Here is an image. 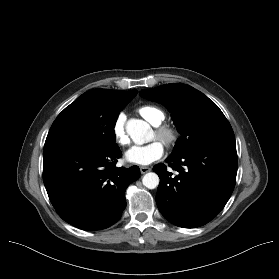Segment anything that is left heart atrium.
I'll return each mask as SVG.
<instances>
[{
    "instance_id": "left-heart-atrium-1",
    "label": "left heart atrium",
    "mask_w": 279,
    "mask_h": 279,
    "mask_svg": "<svg viewBox=\"0 0 279 279\" xmlns=\"http://www.w3.org/2000/svg\"><path fill=\"white\" fill-rule=\"evenodd\" d=\"M164 154V146L158 141H152L142 146H133L126 152V159L134 164L149 165L159 160Z\"/></svg>"
}]
</instances>
